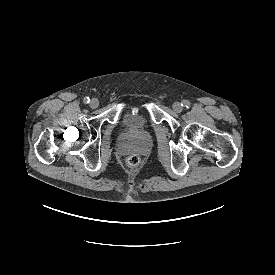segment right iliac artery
Wrapping results in <instances>:
<instances>
[{"label":"right iliac artery","mask_w":275,"mask_h":275,"mask_svg":"<svg viewBox=\"0 0 275 275\" xmlns=\"http://www.w3.org/2000/svg\"><path fill=\"white\" fill-rule=\"evenodd\" d=\"M83 101H84V103L88 104L90 102V98L89 97H85Z\"/></svg>","instance_id":"82829eb1"}]
</instances>
